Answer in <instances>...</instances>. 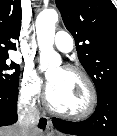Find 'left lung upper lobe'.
I'll return each mask as SVG.
<instances>
[{"mask_svg": "<svg viewBox=\"0 0 117 136\" xmlns=\"http://www.w3.org/2000/svg\"><path fill=\"white\" fill-rule=\"evenodd\" d=\"M97 95L117 83V13L111 0H56Z\"/></svg>", "mask_w": 117, "mask_h": 136, "instance_id": "1", "label": "left lung upper lobe"}]
</instances>
